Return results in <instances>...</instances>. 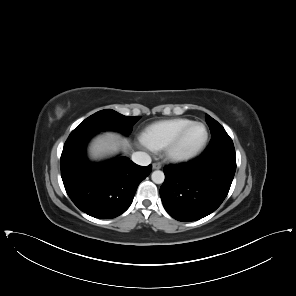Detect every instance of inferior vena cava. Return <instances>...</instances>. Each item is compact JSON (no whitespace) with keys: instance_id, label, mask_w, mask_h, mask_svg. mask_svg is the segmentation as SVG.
<instances>
[{"instance_id":"inferior-vena-cava-1","label":"inferior vena cava","mask_w":296,"mask_h":296,"mask_svg":"<svg viewBox=\"0 0 296 296\" xmlns=\"http://www.w3.org/2000/svg\"><path fill=\"white\" fill-rule=\"evenodd\" d=\"M132 161L141 166H147L151 163V157L145 152H134L131 157Z\"/></svg>"}]
</instances>
